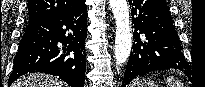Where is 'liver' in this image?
I'll return each instance as SVG.
<instances>
[{
    "label": "liver",
    "mask_w": 205,
    "mask_h": 87,
    "mask_svg": "<svg viewBox=\"0 0 205 87\" xmlns=\"http://www.w3.org/2000/svg\"><path fill=\"white\" fill-rule=\"evenodd\" d=\"M12 87H67L61 80L45 74H28L16 80Z\"/></svg>",
    "instance_id": "6515ba94"
}]
</instances>
